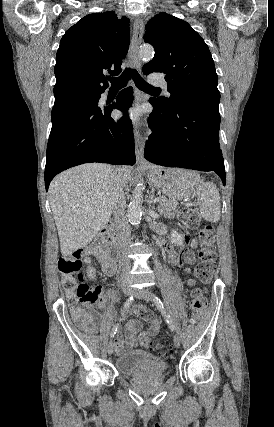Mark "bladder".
<instances>
[{
  "mask_svg": "<svg viewBox=\"0 0 274 427\" xmlns=\"http://www.w3.org/2000/svg\"><path fill=\"white\" fill-rule=\"evenodd\" d=\"M116 370L124 376H166L168 364L166 360L154 357L152 353L141 349H133L116 356Z\"/></svg>",
  "mask_w": 274,
  "mask_h": 427,
  "instance_id": "obj_1",
  "label": "bladder"
}]
</instances>
